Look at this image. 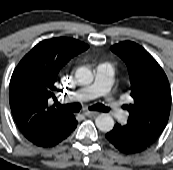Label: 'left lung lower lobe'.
<instances>
[{
    "label": "left lung lower lobe",
    "instance_id": "1",
    "mask_svg": "<svg viewBox=\"0 0 173 170\" xmlns=\"http://www.w3.org/2000/svg\"><path fill=\"white\" fill-rule=\"evenodd\" d=\"M105 136L116 149L124 154L141 153L152 145L132 128L119 124H115L114 128Z\"/></svg>",
    "mask_w": 173,
    "mask_h": 170
}]
</instances>
